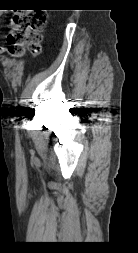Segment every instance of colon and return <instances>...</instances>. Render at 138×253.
Masks as SVG:
<instances>
[{
  "mask_svg": "<svg viewBox=\"0 0 138 253\" xmlns=\"http://www.w3.org/2000/svg\"><path fill=\"white\" fill-rule=\"evenodd\" d=\"M46 23L47 16L44 12H15L10 21L11 26L7 35L9 53L21 56L26 50L32 53L39 52V43Z\"/></svg>",
  "mask_w": 138,
  "mask_h": 253,
  "instance_id": "colon-1",
  "label": "colon"
}]
</instances>
